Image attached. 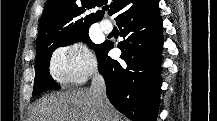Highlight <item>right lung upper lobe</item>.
<instances>
[{
	"label": "right lung upper lobe",
	"instance_id": "right-lung-upper-lobe-1",
	"mask_svg": "<svg viewBox=\"0 0 217 121\" xmlns=\"http://www.w3.org/2000/svg\"><path fill=\"white\" fill-rule=\"evenodd\" d=\"M105 4V0H47L40 22L37 45L62 39L90 27L92 23L102 19L104 12H88ZM131 5L132 0H114L111 3V11L118 17Z\"/></svg>",
	"mask_w": 217,
	"mask_h": 121
}]
</instances>
